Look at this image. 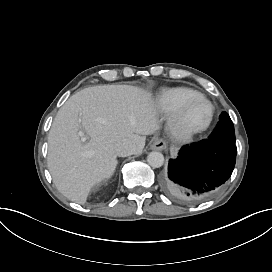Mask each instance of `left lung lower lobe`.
<instances>
[{
  "instance_id": "0a47b994",
  "label": "left lung lower lobe",
  "mask_w": 272,
  "mask_h": 272,
  "mask_svg": "<svg viewBox=\"0 0 272 272\" xmlns=\"http://www.w3.org/2000/svg\"><path fill=\"white\" fill-rule=\"evenodd\" d=\"M235 144L204 140L184 147L161 179L165 192L184 204L204 201L218 193L230 178L236 162Z\"/></svg>"
}]
</instances>
